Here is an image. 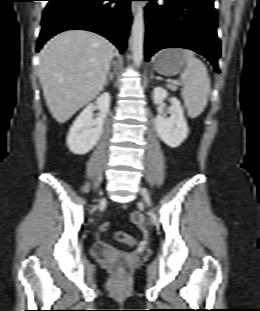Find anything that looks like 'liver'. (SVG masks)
I'll return each mask as SVG.
<instances>
[{
  "instance_id": "1",
  "label": "liver",
  "mask_w": 260,
  "mask_h": 311,
  "mask_svg": "<svg viewBox=\"0 0 260 311\" xmlns=\"http://www.w3.org/2000/svg\"><path fill=\"white\" fill-rule=\"evenodd\" d=\"M114 50L106 38L85 30L62 32L44 46L39 78L57 122L68 121L103 90Z\"/></svg>"
}]
</instances>
